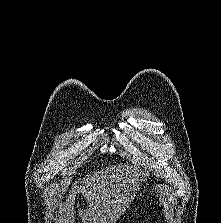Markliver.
<instances>
[{
  "instance_id": "1",
  "label": "liver",
  "mask_w": 221,
  "mask_h": 223,
  "mask_svg": "<svg viewBox=\"0 0 221 223\" xmlns=\"http://www.w3.org/2000/svg\"><path fill=\"white\" fill-rule=\"evenodd\" d=\"M140 185L139 176L129 166H109L83 179L80 188L72 184L66 202L59 205V223L74 222L75 195L79 190L89 203L87 210L79 212L83 223H114L134 199Z\"/></svg>"
}]
</instances>
